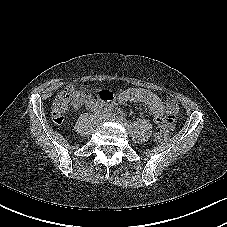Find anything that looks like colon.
<instances>
[{"label":"colon","mask_w":227,"mask_h":227,"mask_svg":"<svg viewBox=\"0 0 227 227\" xmlns=\"http://www.w3.org/2000/svg\"><path fill=\"white\" fill-rule=\"evenodd\" d=\"M75 91V86L68 85L56 96L51 108V117L54 123L60 125L64 122L65 114ZM166 111L168 114L169 121L173 122V120L177 118L180 113V107L178 102L173 98H169L166 101ZM168 134L169 132L166 127H158L155 130L154 138L156 141L162 142L167 139Z\"/></svg>","instance_id":"1"}]
</instances>
